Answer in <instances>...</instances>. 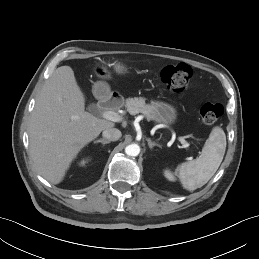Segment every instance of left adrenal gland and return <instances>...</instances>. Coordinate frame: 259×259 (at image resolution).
<instances>
[{"mask_svg":"<svg viewBox=\"0 0 259 259\" xmlns=\"http://www.w3.org/2000/svg\"><path fill=\"white\" fill-rule=\"evenodd\" d=\"M147 142H148V145H149V148L152 149L154 146H157V147H160L159 144L155 143V142H152L151 139H147Z\"/></svg>","mask_w":259,"mask_h":259,"instance_id":"obj_1","label":"left adrenal gland"}]
</instances>
